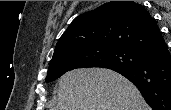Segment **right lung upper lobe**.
Here are the masks:
<instances>
[{
    "label": "right lung upper lobe",
    "mask_w": 171,
    "mask_h": 110,
    "mask_svg": "<svg viewBox=\"0 0 171 110\" xmlns=\"http://www.w3.org/2000/svg\"><path fill=\"white\" fill-rule=\"evenodd\" d=\"M163 43L144 6L134 1H111L76 17L60 37L53 57L91 47H124L145 53Z\"/></svg>",
    "instance_id": "obj_1"
}]
</instances>
